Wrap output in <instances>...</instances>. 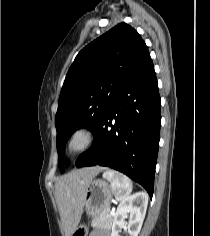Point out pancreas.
Segmentation results:
<instances>
[{"instance_id": "1", "label": "pancreas", "mask_w": 210, "mask_h": 236, "mask_svg": "<svg viewBox=\"0 0 210 236\" xmlns=\"http://www.w3.org/2000/svg\"><path fill=\"white\" fill-rule=\"evenodd\" d=\"M113 215L108 213V211H104L93 218L92 227H101L105 229H109L112 226Z\"/></svg>"}]
</instances>
